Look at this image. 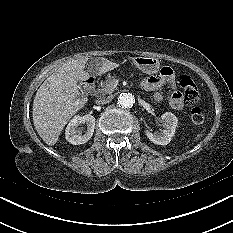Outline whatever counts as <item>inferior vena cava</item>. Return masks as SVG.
Here are the masks:
<instances>
[{
    "label": "inferior vena cava",
    "mask_w": 233,
    "mask_h": 233,
    "mask_svg": "<svg viewBox=\"0 0 233 233\" xmlns=\"http://www.w3.org/2000/svg\"><path fill=\"white\" fill-rule=\"evenodd\" d=\"M111 101V97H105V96H101L96 103L97 104H106L109 103Z\"/></svg>",
    "instance_id": "inferior-vena-cava-1"
}]
</instances>
